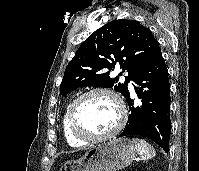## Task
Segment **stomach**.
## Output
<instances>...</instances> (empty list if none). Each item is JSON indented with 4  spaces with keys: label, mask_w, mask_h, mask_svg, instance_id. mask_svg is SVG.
Listing matches in <instances>:
<instances>
[{
    "label": "stomach",
    "mask_w": 199,
    "mask_h": 171,
    "mask_svg": "<svg viewBox=\"0 0 199 171\" xmlns=\"http://www.w3.org/2000/svg\"><path fill=\"white\" fill-rule=\"evenodd\" d=\"M135 144L128 138H115L88 150L83 157L62 164L59 171H119L133 161Z\"/></svg>",
    "instance_id": "obj_1"
}]
</instances>
